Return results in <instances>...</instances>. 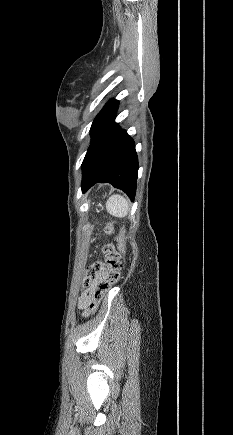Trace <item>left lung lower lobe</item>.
<instances>
[{
    "instance_id": "1",
    "label": "left lung lower lobe",
    "mask_w": 233,
    "mask_h": 435,
    "mask_svg": "<svg viewBox=\"0 0 233 435\" xmlns=\"http://www.w3.org/2000/svg\"><path fill=\"white\" fill-rule=\"evenodd\" d=\"M138 158L132 138L111 122L92 140L82 164V190L95 183L109 182L133 201L136 192Z\"/></svg>"
}]
</instances>
